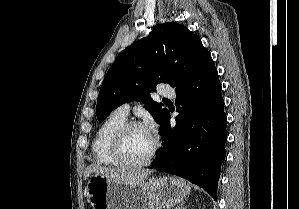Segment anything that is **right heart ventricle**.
<instances>
[{
	"label": "right heart ventricle",
	"instance_id": "1",
	"mask_svg": "<svg viewBox=\"0 0 299 209\" xmlns=\"http://www.w3.org/2000/svg\"><path fill=\"white\" fill-rule=\"evenodd\" d=\"M127 121V116L113 111L100 125L93 140L95 160L103 165H116L111 154V145L116 131Z\"/></svg>",
	"mask_w": 299,
	"mask_h": 209
}]
</instances>
